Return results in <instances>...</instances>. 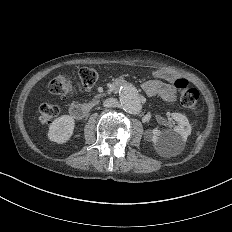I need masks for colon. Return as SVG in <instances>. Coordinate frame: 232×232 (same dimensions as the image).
<instances>
[{"label":"colon","mask_w":232,"mask_h":232,"mask_svg":"<svg viewBox=\"0 0 232 232\" xmlns=\"http://www.w3.org/2000/svg\"><path fill=\"white\" fill-rule=\"evenodd\" d=\"M76 73H79V79L85 86L92 85L94 79H98V74H96L94 68H76ZM54 79H57V81H49L50 93L71 92L72 84H66V82L74 81L70 74H54ZM176 87L181 91L180 100L182 102H180V107H188L192 113L203 111V106L197 100L199 91L185 76H180L176 80ZM39 107L42 116H38V121H42V125H47V121H51V117L61 116V108L51 106L50 102H44V98H39Z\"/></svg>","instance_id":"5ec220e1"}]
</instances>
